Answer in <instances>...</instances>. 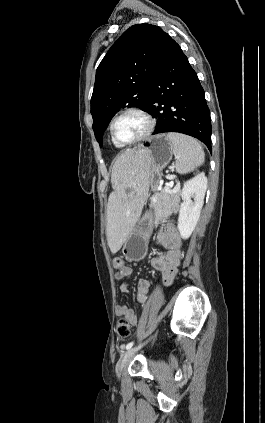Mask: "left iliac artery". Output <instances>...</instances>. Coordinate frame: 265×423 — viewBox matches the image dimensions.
<instances>
[{"label":"left iliac artery","instance_id":"left-iliac-artery-1","mask_svg":"<svg viewBox=\"0 0 265 423\" xmlns=\"http://www.w3.org/2000/svg\"><path fill=\"white\" fill-rule=\"evenodd\" d=\"M134 342H130L126 345V350L130 349L133 346Z\"/></svg>","mask_w":265,"mask_h":423}]
</instances>
